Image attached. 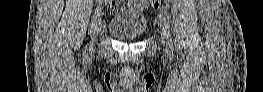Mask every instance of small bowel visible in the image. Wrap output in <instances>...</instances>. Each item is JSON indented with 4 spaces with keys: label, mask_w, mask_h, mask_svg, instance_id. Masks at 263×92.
<instances>
[{
    "label": "small bowel",
    "mask_w": 263,
    "mask_h": 92,
    "mask_svg": "<svg viewBox=\"0 0 263 92\" xmlns=\"http://www.w3.org/2000/svg\"><path fill=\"white\" fill-rule=\"evenodd\" d=\"M137 8H144L147 1H133Z\"/></svg>",
    "instance_id": "c3829d8e"
}]
</instances>
